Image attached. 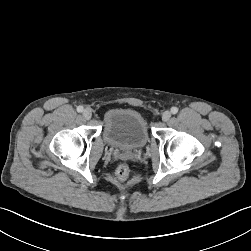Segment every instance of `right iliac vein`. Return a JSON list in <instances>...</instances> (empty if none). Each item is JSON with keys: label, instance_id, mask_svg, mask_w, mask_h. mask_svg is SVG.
Listing matches in <instances>:
<instances>
[{"label": "right iliac vein", "instance_id": "63e3f726", "mask_svg": "<svg viewBox=\"0 0 251 251\" xmlns=\"http://www.w3.org/2000/svg\"><path fill=\"white\" fill-rule=\"evenodd\" d=\"M91 116H92V111H91V109L86 108V109L83 111V117H84L85 119H90Z\"/></svg>", "mask_w": 251, "mask_h": 251}]
</instances>
